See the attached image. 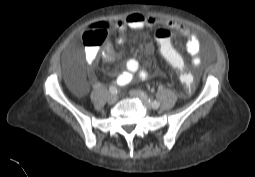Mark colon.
Masks as SVG:
<instances>
[{
	"label": "colon",
	"mask_w": 255,
	"mask_h": 177,
	"mask_svg": "<svg viewBox=\"0 0 255 177\" xmlns=\"http://www.w3.org/2000/svg\"><path fill=\"white\" fill-rule=\"evenodd\" d=\"M172 34L167 29H159L155 34V48L161 54L162 61L175 69L179 82L185 85L186 93L190 94L194 90V74L190 72L182 54L172 44ZM107 38V25L104 23L88 27L84 34L85 43L90 46H98Z\"/></svg>",
	"instance_id": "obj_1"
}]
</instances>
